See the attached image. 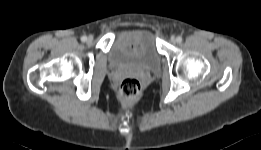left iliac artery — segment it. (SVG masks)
I'll return each mask as SVG.
<instances>
[{
	"label": "left iliac artery",
	"mask_w": 261,
	"mask_h": 150,
	"mask_svg": "<svg viewBox=\"0 0 261 150\" xmlns=\"http://www.w3.org/2000/svg\"><path fill=\"white\" fill-rule=\"evenodd\" d=\"M176 41H177L178 43H181V42H182V37L178 36V37L176 38Z\"/></svg>",
	"instance_id": "obj_1"
}]
</instances>
